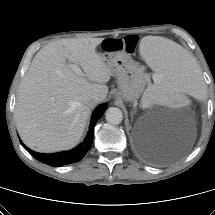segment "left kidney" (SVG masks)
Wrapping results in <instances>:
<instances>
[{"mask_svg":"<svg viewBox=\"0 0 215 215\" xmlns=\"http://www.w3.org/2000/svg\"><path fill=\"white\" fill-rule=\"evenodd\" d=\"M145 102H146V104H148V105H156V104H158V102H159V104H161V105H165V104H167V102H169V104H171V105H179V106H187V107H190V106H192V104H193V100H192V98H188V97H176V96H171V97H169V99H167V97H165V96H161V97H159V99H158V97H156V96H148V97H146V99H145Z\"/></svg>","mask_w":215,"mask_h":215,"instance_id":"5707ae66","label":"left kidney"}]
</instances>
